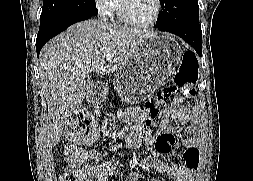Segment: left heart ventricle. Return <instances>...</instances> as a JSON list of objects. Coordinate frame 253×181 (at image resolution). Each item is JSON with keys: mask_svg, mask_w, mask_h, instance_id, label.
Masks as SVG:
<instances>
[{"mask_svg": "<svg viewBox=\"0 0 253 181\" xmlns=\"http://www.w3.org/2000/svg\"><path fill=\"white\" fill-rule=\"evenodd\" d=\"M130 16L138 22H148L155 12V0H126Z\"/></svg>", "mask_w": 253, "mask_h": 181, "instance_id": "1", "label": "left heart ventricle"}]
</instances>
